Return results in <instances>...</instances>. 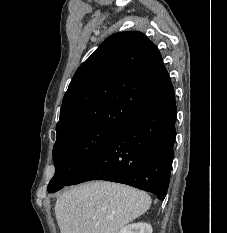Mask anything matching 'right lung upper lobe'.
Returning <instances> with one entry per match:
<instances>
[{
  "instance_id": "obj_1",
  "label": "right lung upper lobe",
  "mask_w": 227,
  "mask_h": 233,
  "mask_svg": "<svg viewBox=\"0 0 227 233\" xmlns=\"http://www.w3.org/2000/svg\"><path fill=\"white\" fill-rule=\"evenodd\" d=\"M173 93L152 41L138 31L113 34L74 74L63 98L57 135L86 126L119 129Z\"/></svg>"
}]
</instances>
